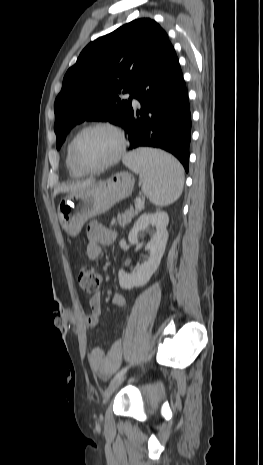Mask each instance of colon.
<instances>
[{
    "label": "colon",
    "instance_id": "1",
    "mask_svg": "<svg viewBox=\"0 0 263 465\" xmlns=\"http://www.w3.org/2000/svg\"><path fill=\"white\" fill-rule=\"evenodd\" d=\"M78 284L83 294L91 298L95 296L100 289L101 276L95 268L87 265L83 266L78 272ZM98 322V319L89 316L86 323L89 327H95L98 325Z\"/></svg>",
    "mask_w": 263,
    "mask_h": 465
}]
</instances>
